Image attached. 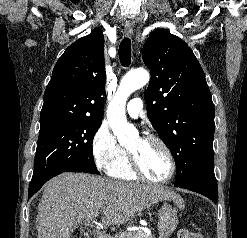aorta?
<instances>
[{"label":"aorta","mask_w":247,"mask_h":238,"mask_svg":"<svg viewBox=\"0 0 247 238\" xmlns=\"http://www.w3.org/2000/svg\"><path fill=\"white\" fill-rule=\"evenodd\" d=\"M149 73L136 70L127 73L121 80L117 93L109 103L107 119L109 125L121 145H126L138 135L136 129L129 125L125 115V105L128 97L149 82Z\"/></svg>","instance_id":"obj_1"}]
</instances>
